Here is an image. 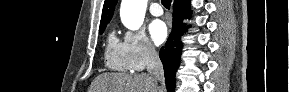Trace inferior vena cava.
Here are the masks:
<instances>
[{"mask_svg": "<svg viewBox=\"0 0 289 92\" xmlns=\"http://www.w3.org/2000/svg\"><path fill=\"white\" fill-rule=\"evenodd\" d=\"M147 71L151 78L157 83L161 82V89H164V71L159 55L153 45H147Z\"/></svg>", "mask_w": 289, "mask_h": 92, "instance_id": "1", "label": "inferior vena cava"}]
</instances>
